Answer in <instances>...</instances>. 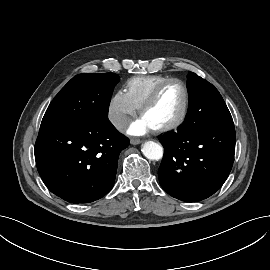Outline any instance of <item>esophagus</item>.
<instances>
[{
    "mask_svg": "<svg viewBox=\"0 0 270 270\" xmlns=\"http://www.w3.org/2000/svg\"><path fill=\"white\" fill-rule=\"evenodd\" d=\"M130 143H131L132 145H138V144L141 143V140H140V139H137V138H132V139L130 140Z\"/></svg>",
    "mask_w": 270,
    "mask_h": 270,
    "instance_id": "esophagus-1",
    "label": "esophagus"
}]
</instances>
